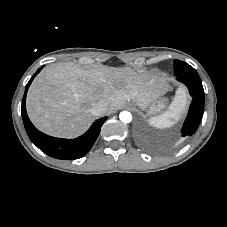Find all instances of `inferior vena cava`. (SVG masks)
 <instances>
[{
	"label": "inferior vena cava",
	"instance_id": "602c4592",
	"mask_svg": "<svg viewBox=\"0 0 227 227\" xmlns=\"http://www.w3.org/2000/svg\"><path fill=\"white\" fill-rule=\"evenodd\" d=\"M108 105L104 101L97 102L96 104L93 105L91 108V113L94 116H99L104 114L107 111Z\"/></svg>",
	"mask_w": 227,
	"mask_h": 227
}]
</instances>
